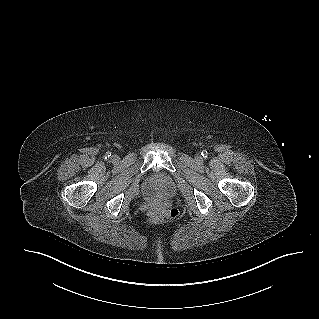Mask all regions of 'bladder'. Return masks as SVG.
<instances>
[{
    "label": "bladder",
    "mask_w": 319,
    "mask_h": 319,
    "mask_svg": "<svg viewBox=\"0 0 319 319\" xmlns=\"http://www.w3.org/2000/svg\"><path fill=\"white\" fill-rule=\"evenodd\" d=\"M174 190L173 179L166 173L158 172L146 179L142 187V194L147 200H156L171 196Z\"/></svg>",
    "instance_id": "1"
}]
</instances>
